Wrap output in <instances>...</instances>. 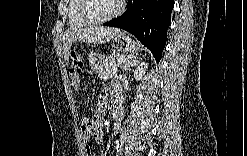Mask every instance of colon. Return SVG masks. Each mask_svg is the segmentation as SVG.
Instances as JSON below:
<instances>
[{
	"instance_id": "5ec220e1",
	"label": "colon",
	"mask_w": 247,
	"mask_h": 156,
	"mask_svg": "<svg viewBox=\"0 0 247 156\" xmlns=\"http://www.w3.org/2000/svg\"><path fill=\"white\" fill-rule=\"evenodd\" d=\"M84 134L89 137V138H92V137H96L98 136L99 132L96 130V129H90V128H84Z\"/></svg>"
}]
</instances>
